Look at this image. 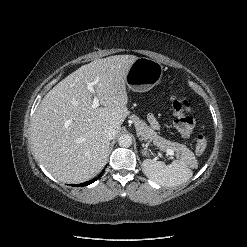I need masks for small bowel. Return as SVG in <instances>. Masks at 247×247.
I'll use <instances>...</instances> for the list:
<instances>
[{
	"mask_svg": "<svg viewBox=\"0 0 247 247\" xmlns=\"http://www.w3.org/2000/svg\"><path fill=\"white\" fill-rule=\"evenodd\" d=\"M152 122H153L154 124L156 123L154 119L152 120Z\"/></svg>",
	"mask_w": 247,
	"mask_h": 247,
	"instance_id": "c3829d8e",
	"label": "small bowel"
}]
</instances>
